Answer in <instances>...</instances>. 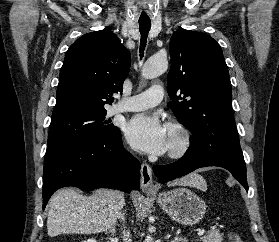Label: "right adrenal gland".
Segmentation results:
<instances>
[{
    "label": "right adrenal gland",
    "instance_id": "obj_1",
    "mask_svg": "<svg viewBox=\"0 0 279 242\" xmlns=\"http://www.w3.org/2000/svg\"><path fill=\"white\" fill-rule=\"evenodd\" d=\"M107 233H111V235H115V233H116V229H115V226L114 227H112V228H110L108 231H107Z\"/></svg>",
    "mask_w": 279,
    "mask_h": 242
}]
</instances>
